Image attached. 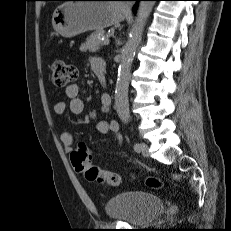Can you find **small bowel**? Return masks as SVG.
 <instances>
[{
    "label": "small bowel",
    "mask_w": 231,
    "mask_h": 231,
    "mask_svg": "<svg viewBox=\"0 0 231 231\" xmlns=\"http://www.w3.org/2000/svg\"><path fill=\"white\" fill-rule=\"evenodd\" d=\"M104 63L101 59H93L91 61L92 69L94 71V67ZM65 95L69 99V109L74 115H81L84 110V103L82 99L79 97V88L75 84H71L65 89ZM102 111L108 112L111 108L112 99L109 94L103 93L100 97ZM54 112L58 115H62L66 112V103L64 101H58L54 105ZM98 132L101 134L113 133L118 142H121L122 136L120 134L119 123L116 120H100L96 126ZM61 141L64 146V150L66 152H70L73 146V136L65 132L61 135Z\"/></svg>",
    "instance_id": "obj_1"
}]
</instances>
